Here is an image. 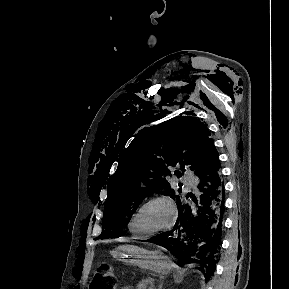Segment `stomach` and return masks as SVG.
Wrapping results in <instances>:
<instances>
[{"mask_svg":"<svg viewBox=\"0 0 289 289\" xmlns=\"http://www.w3.org/2000/svg\"><path fill=\"white\" fill-rule=\"evenodd\" d=\"M111 255L119 261L158 274H166L172 268L171 261L161 251H150L136 245L118 246Z\"/></svg>","mask_w":289,"mask_h":289,"instance_id":"stomach-1","label":"stomach"}]
</instances>
